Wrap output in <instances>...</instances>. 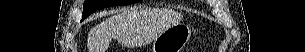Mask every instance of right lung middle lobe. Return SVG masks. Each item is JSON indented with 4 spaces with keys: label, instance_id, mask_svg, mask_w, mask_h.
Here are the masks:
<instances>
[{
    "label": "right lung middle lobe",
    "instance_id": "obj_1",
    "mask_svg": "<svg viewBox=\"0 0 305 52\" xmlns=\"http://www.w3.org/2000/svg\"><path fill=\"white\" fill-rule=\"evenodd\" d=\"M142 0H85L83 5V17L84 20L88 17L91 13L95 12L96 10L114 6V5H127L131 3L140 2Z\"/></svg>",
    "mask_w": 305,
    "mask_h": 52
}]
</instances>
